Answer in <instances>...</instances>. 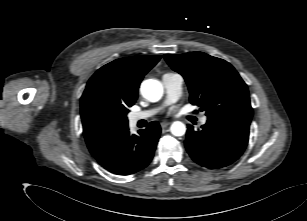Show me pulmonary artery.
<instances>
[{
    "mask_svg": "<svg viewBox=\"0 0 307 221\" xmlns=\"http://www.w3.org/2000/svg\"><path fill=\"white\" fill-rule=\"evenodd\" d=\"M162 82L165 88L167 101L172 102L177 100L182 93L183 77L178 73H166L162 77ZM155 112V109H151L133 113L129 116L130 124L135 125L138 121L151 117ZM200 122L201 124H206L207 118H201Z\"/></svg>",
    "mask_w": 307,
    "mask_h": 221,
    "instance_id": "e3ab8cb5",
    "label": "pulmonary artery"
}]
</instances>
